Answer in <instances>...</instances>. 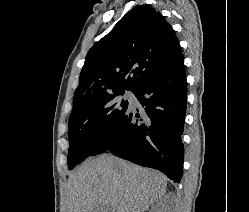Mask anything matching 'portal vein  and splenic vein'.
Returning <instances> with one entry per match:
<instances>
[{"mask_svg": "<svg viewBox=\"0 0 249 212\" xmlns=\"http://www.w3.org/2000/svg\"><path fill=\"white\" fill-rule=\"evenodd\" d=\"M103 212H112V208L110 206H106V208H102Z\"/></svg>", "mask_w": 249, "mask_h": 212, "instance_id": "18ae733b", "label": "portal vein and splenic vein"}]
</instances>
